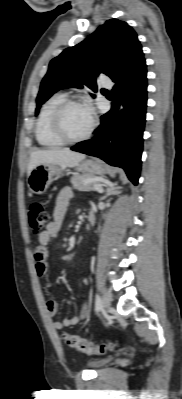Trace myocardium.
I'll return each mask as SVG.
<instances>
[{"label": "myocardium", "mask_w": 182, "mask_h": 399, "mask_svg": "<svg viewBox=\"0 0 182 399\" xmlns=\"http://www.w3.org/2000/svg\"><path fill=\"white\" fill-rule=\"evenodd\" d=\"M74 105H82V106H87L83 101L76 99V98H69L65 99L62 101L54 110L53 115H52V129L55 135L63 142L66 144H75V143H80L85 140H87L92 133L95 130L96 127V120L94 116L91 113V122L88 130L80 137H70L64 128L63 125V115L65 111L70 107Z\"/></svg>", "instance_id": "1"}]
</instances>
